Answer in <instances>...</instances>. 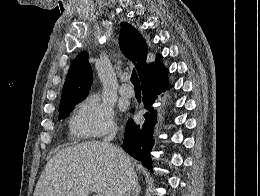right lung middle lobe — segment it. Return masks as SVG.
I'll return each mask as SVG.
<instances>
[{
	"instance_id": "dd1d6c3e",
	"label": "right lung middle lobe",
	"mask_w": 260,
	"mask_h": 196,
	"mask_svg": "<svg viewBox=\"0 0 260 196\" xmlns=\"http://www.w3.org/2000/svg\"><path fill=\"white\" fill-rule=\"evenodd\" d=\"M81 100L82 99L76 100V101L70 103L69 105H67L66 107L60 109L59 110V119H65L69 115V113L72 110L73 106L76 105Z\"/></svg>"
}]
</instances>
